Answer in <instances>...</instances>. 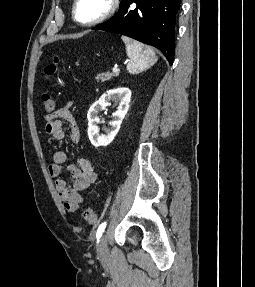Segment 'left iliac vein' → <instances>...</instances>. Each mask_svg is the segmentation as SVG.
<instances>
[{"instance_id": "4c4485c4", "label": "left iliac vein", "mask_w": 255, "mask_h": 287, "mask_svg": "<svg viewBox=\"0 0 255 287\" xmlns=\"http://www.w3.org/2000/svg\"><path fill=\"white\" fill-rule=\"evenodd\" d=\"M109 252L108 243H107V236L103 235L98 243V254L100 256H106Z\"/></svg>"}]
</instances>
